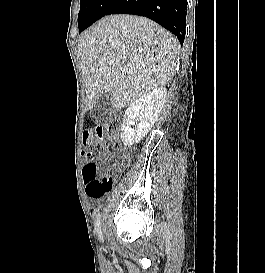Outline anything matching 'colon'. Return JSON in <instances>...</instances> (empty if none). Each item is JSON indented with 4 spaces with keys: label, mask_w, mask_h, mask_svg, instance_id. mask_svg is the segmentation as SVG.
Here are the masks:
<instances>
[{
    "label": "colon",
    "mask_w": 265,
    "mask_h": 273,
    "mask_svg": "<svg viewBox=\"0 0 265 273\" xmlns=\"http://www.w3.org/2000/svg\"><path fill=\"white\" fill-rule=\"evenodd\" d=\"M120 122L115 120L107 125H98L94 131L86 130L83 134V140L87 146L85 157L87 162L83 167V178L86 184L87 195L103 198L113 187V179L110 176L99 179L98 165L96 160L100 151L109 146L114 134L118 131ZM118 169L121 170L128 164V157L122 153L118 156Z\"/></svg>",
    "instance_id": "colon-1"
}]
</instances>
